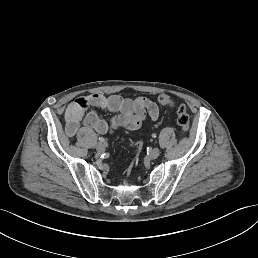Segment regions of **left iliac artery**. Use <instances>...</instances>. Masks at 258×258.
I'll list each match as a JSON object with an SVG mask.
<instances>
[{
	"mask_svg": "<svg viewBox=\"0 0 258 258\" xmlns=\"http://www.w3.org/2000/svg\"><path fill=\"white\" fill-rule=\"evenodd\" d=\"M152 137H153V138H156V137H157V135H156L155 133H153V134H152Z\"/></svg>",
	"mask_w": 258,
	"mask_h": 258,
	"instance_id": "obj_1",
	"label": "left iliac artery"
}]
</instances>
